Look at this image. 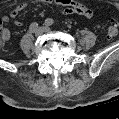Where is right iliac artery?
Listing matches in <instances>:
<instances>
[{
  "mask_svg": "<svg viewBox=\"0 0 119 119\" xmlns=\"http://www.w3.org/2000/svg\"><path fill=\"white\" fill-rule=\"evenodd\" d=\"M37 28H38V23L37 22L31 23L30 26H29V30L31 32H35L37 30Z\"/></svg>",
  "mask_w": 119,
  "mask_h": 119,
  "instance_id": "obj_1",
  "label": "right iliac artery"
}]
</instances>
